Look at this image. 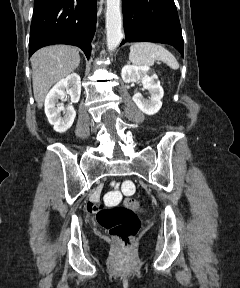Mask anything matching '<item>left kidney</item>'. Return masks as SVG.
<instances>
[{
  "mask_svg": "<svg viewBox=\"0 0 240 288\" xmlns=\"http://www.w3.org/2000/svg\"><path fill=\"white\" fill-rule=\"evenodd\" d=\"M121 76L125 83L142 82L143 88L149 91V99H145L139 92L133 96V101L143 113L154 115L160 110L164 91L157 75L148 66L125 65Z\"/></svg>",
  "mask_w": 240,
  "mask_h": 288,
  "instance_id": "5707ae66",
  "label": "left kidney"
}]
</instances>
